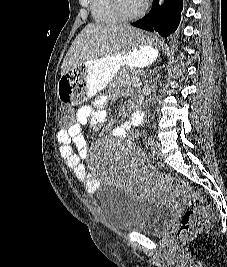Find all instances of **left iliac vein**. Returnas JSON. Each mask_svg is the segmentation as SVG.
Returning a JSON list of instances; mask_svg holds the SVG:
<instances>
[{
	"label": "left iliac vein",
	"instance_id": "obj_1",
	"mask_svg": "<svg viewBox=\"0 0 227 267\" xmlns=\"http://www.w3.org/2000/svg\"><path fill=\"white\" fill-rule=\"evenodd\" d=\"M152 150H153V155L157 158H161L162 154H161V146L160 143L158 141H154L153 145H152Z\"/></svg>",
	"mask_w": 227,
	"mask_h": 267
}]
</instances>
